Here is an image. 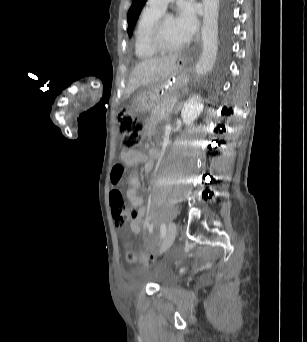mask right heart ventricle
Returning a JSON list of instances; mask_svg holds the SVG:
<instances>
[{
  "mask_svg": "<svg viewBox=\"0 0 307 342\" xmlns=\"http://www.w3.org/2000/svg\"><path fill=\"white\" fill-rule=\"evenodd\" d=\"M160 16L161 14L151 11L148 7L140 11L133 33V47L137 59L148 61L158 56L148 45V33L152 23Z\"/></svg>",
  "mask_w": 307,
  "mask_h": 342,
  "instance_id": "obj_1",
  "label": "right heart ventricle"
}]
</instances>
